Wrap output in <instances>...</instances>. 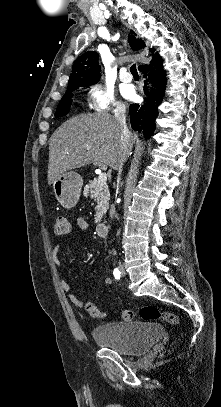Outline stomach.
Instances as JSON below:
<instances>
[{
	"label": "stomach",
	"instance_id": "stomach-1",
	"mask_svg": "<svg viewBox=\"0 0 221 407\" xmlns=\"http://www.w3.org/2000/svg\"><path fill=\"white\" fill-rule=\"evenodd\" d=\"M83 179L80 174L69 171L61 174L52 184L58 202L66 209L73 208L79 201Z\"/></svg>",
	"mask_w": 221,
	"mask_h": 407
}]
</instances>
